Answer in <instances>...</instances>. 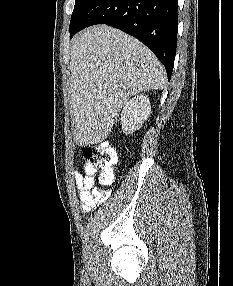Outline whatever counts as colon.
Here are the masks:
<instances>
[{
	"label": "colon",
	"instance_id": "5ec220e1",
	"mask_svg": "<svg viewBox=\"0 0 233 286\" xmlns=\"http://www.w3.org/2000/svg\"><path fill=\"white\" fill-rule=\"evenodd\" d=\"M92 175L98 174V180L102 185H108L113 181V166L116 162V152L107 143L88 145L83 150Z\"/></svg>",
	"mask_w": 233,
	"mask_h": 286
}]
</instances>
